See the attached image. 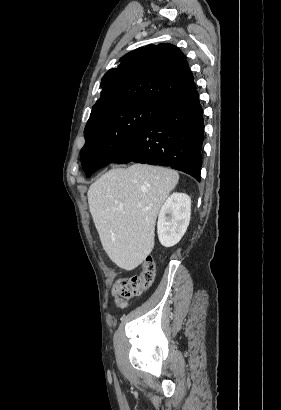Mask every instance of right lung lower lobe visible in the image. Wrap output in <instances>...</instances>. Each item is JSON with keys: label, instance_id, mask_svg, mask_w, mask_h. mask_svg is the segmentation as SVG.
Wrapping results in <instances>:
<instances>
[{"label": "right lung lower lobe", "instance_id": "98d812e1", "mask_svg": "<svg viewBox=\"0 0 281 410\" xmlns=\"http://www.w3.org/2000/svg\"><path fill=\"white\" fill-rule=\"evenodd\" d=\"M204 139L197 90L159 107L156 115L113 163L131 161L183 171L200 181Z\"/></svg>", "mask_w": 281, "mask_h": 410}]
</instances>
